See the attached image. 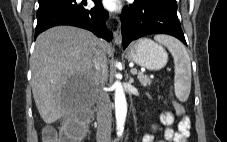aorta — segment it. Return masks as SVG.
I'll return each mask as SVG.
<instances>
[{
    "label": "aorta",
    "mask_w": 227,
    "mask_h": 142,
    "mask_svg": "<svg viewBox=\"0 0 227 142\" xmlns=\"http://www.w3.org/2000/svg\"><path fill=\"white\" fill-rule=\"evenodd\" d=\"M118 78L119 75H116ZM115 89V116H116V126L117 135L121 136L124 130V125L127 115V102L123 87L119 80L114 83Z\"/></svg>",
    "instance_id": "1"
}]
</instances>
